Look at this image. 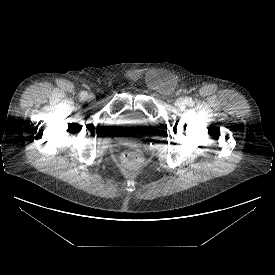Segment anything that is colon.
I'll use <instances>...</instances> for the list:
<instances>
[{"instance_id":"colon-1","label":"colon","mask_w":275,"mask_h":275,"mask_svg":"<svg viewBox=\"0 0 275 275\" xmlns=\"http://www.w3.org/2000/svg\"><path fill=\"white\" fill-rule=\"evenodd\" d=\"M122 162L128 168H138L143 164L144 158L139 150L132 149L122 154Z\"/></svg>"}]
</instances>
